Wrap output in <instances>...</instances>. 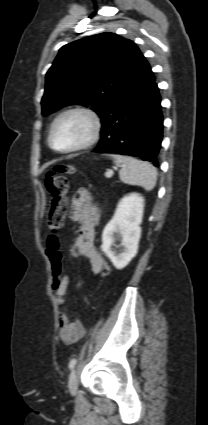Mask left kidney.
<instances>
[{
    "label": "left kidney",
    "mask_w": 208,
    "mask_h": 425,
    "mask_svg": "<svg viewBox=\"0 0 208 425\" xmlns=\"http://www.w3.org/2000/svg\"><path fill=\"white\" fill-rule=\"evenodd\" d=\"M143 210L144 198L137 193L128 194L120 200L113 218L103 230L101 249L118 270L125 268L137 254ZM115 233L120 234L124 246L120 254L112 250Z\"/></svg>",
    "instance_id": "5707ae66"
}]
</instances>
